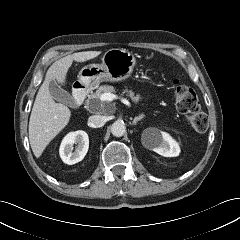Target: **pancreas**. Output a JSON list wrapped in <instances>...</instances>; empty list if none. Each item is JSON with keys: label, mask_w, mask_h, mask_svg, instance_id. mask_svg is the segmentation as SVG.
<instances>
[{"label": "pancreas", "mask_w": 240, "mask_h": 240, "mask_svg": "<svg viewBox=\"0 0 240 240\" xmlns=\"http://www.w3.org/2000/svg\"><path fill=\"white\" fill-rule=\"evenodd\" d=\"M115 88L113 86L110 85H103L100 86L96 92L94 94H91L89 96V99L87 101V103L89 104L90 102H94L96 107L100 110V111H104L106 104L100 101V97L102 94L104 93H115ZM127 96H129L131 98V100L135 103H137L139 100H141V96L140 95H135V93L132 90H124L123 94H125Z\"/></svg>", "instance_id": "1"}]
</instances>
